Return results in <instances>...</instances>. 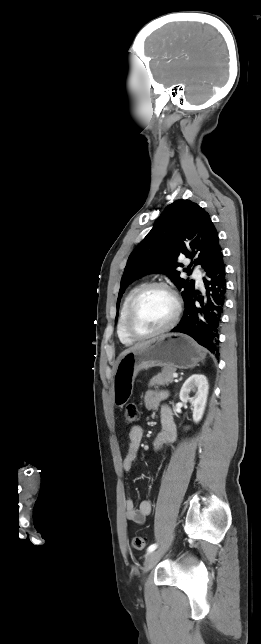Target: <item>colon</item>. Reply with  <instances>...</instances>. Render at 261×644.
<instances>
[{
    "mask_svg": "<svg viewBox=\"0 0 261 644\" xmlns=\"http://www.w3.org/2000/svg\"><path fill=\"white\" fill-rule=\"evenodd\" d=\"M140 418V411L135 403H129L125 409V421L127 424H135ZM146 544L145 539L140 535H135L132 538V546L137 550L144 549Z\"/></svg>",
    "mask_w": 261,
    "mask_h": 644,
    "instance_id": "obj_1",
    "label": "colon"
}]
</instances>
